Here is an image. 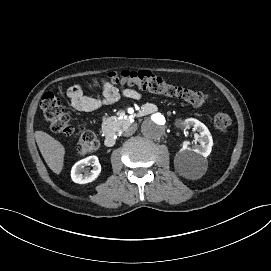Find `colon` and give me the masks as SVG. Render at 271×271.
<instances>
[{"label":"colon","mask_w":271,"mask_h":271,"mask_svg":"<svg viewBox=\"0 0 271 271\" xmlns=\"http://www.w3.org/2000/svg\"><path fill=\"white\" fill-rule=\"evenodd\" d=\"M107 82L137 86L142 90L179 99L194 106L204 105L209 98V95L203 91L171 84L149 71L124 70L120 74L110 73L108 74ZM40 107L45 118L50 122L52 131L66 135L74 132L73 122L56 94L46 92L41 98ZM233 124L234 120L232 116L224 111L217 112L213 118L214 128L219 132L228 131ZM98 147L99 142L96 135L89 130H85L80 135L76 146V154L80 157H85L95 152Z\"/></svg>","instance_id":"1"}]
</instances>
